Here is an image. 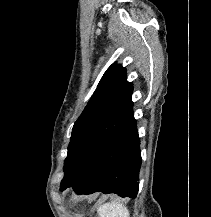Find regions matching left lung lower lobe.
I'll list each match as a JSON object with an SVG mask.
<instances>
[{
	"instance_id": "left-lung-lower-lobe-1",
	"label": "left lung lower lobe",
	"mask_w": 211,
	"mask_h": 217,
	"mask_svg": "<svg viewBox=\"0 0 211 217\" xmlns=\"http://www.w3.org/2000/svg\"><path fill=\"white\" fill-rule=\"evenodd\" d=\"M141 161L140 139L133 118L101 146L74 180L60 189L72 186L77 194L101 191L136 198Z\"/></svg>"
}]
</instances>
